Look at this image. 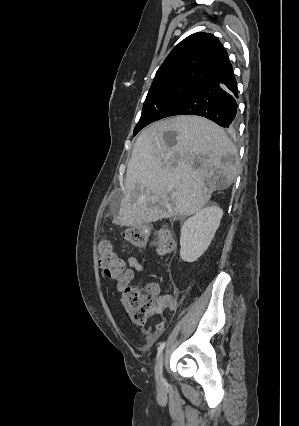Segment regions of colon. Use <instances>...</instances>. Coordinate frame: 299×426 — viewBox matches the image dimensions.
Segmentation results:
<instances>
[{
	"label": "colon",
	"instance_id": "1",
	"mask_svg": "<svg viewBox=\"0 0 299 426\" xmlns=\"http://www.w3.org/2000/svg\"><path fill=\"white\" fill-rule=\"evenodd\" d=\"M149 229L138 226L125 229L121 237L123 241L135 249H143L148 241ZM155 251L160 255H169L175 252L176 240L168 229H160L154 240ZM99 265L108 277L120 275L124 269V262L116 255L110 240L100 239L98 242ZM126 296L129 302L131 317L138 325H143L149 315L159 313L169 304L166 297H157L149 288L140 290L127 288Z\"/></svg>",
	"mask_w": 299,
	"mask_h": 426
}]
</instances>
